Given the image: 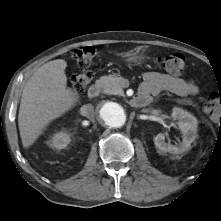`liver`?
Instances as JSON below:
<instances>
[{"instance_id":"6515ba94","label":"liver","mask_w":221,"mask_h":221,"mask_svg":"<svg viewBox=\"0 0 221 221\" xmlns=\"http://www.w3.org/2000/svg\"><path fill=\"white\" fill-rule=\"evenodd\" d=\"M63 59L39 67L27 81L21 97L18 126L24 148L30 147L54 119L78 102V93L67 87Z\"/></svg>"}]
</instances>
